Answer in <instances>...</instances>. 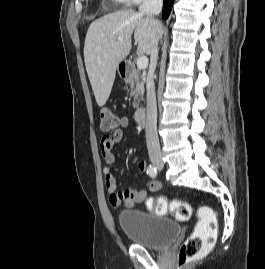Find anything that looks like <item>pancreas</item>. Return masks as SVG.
Segmentation results:
<instances>
[{"label": "pancreas", "instance_id": "1", "mask_svg": "<svg viewBox=\"0 0 265 269\" xmlns=\"http://www.w3.org/2000/svg\"><path fill=\"white\" fill-rule=\"evenodd\" d=\"M129 87L131 88V96L134 97L133 107L134 109L139 108V101L144 96V76L139 71L134 70L130 79L128 80Z\"/></svg>", "mask_w": 265, "mask_h": 269}]
</instances>
